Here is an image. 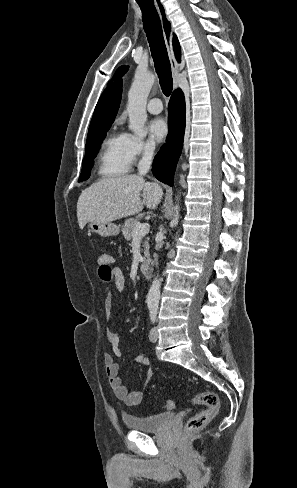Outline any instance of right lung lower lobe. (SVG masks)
I'll use <instances>...</instances> for the list:
<instances>
[{"instance_id": "right-lung-lower-lobe-1", "label": "right lung lower lobe", "mask_w": 297, "mask_h": 488, "mask_svg": "<svg viewBox=\"0 0 297 488\" xmlns=\"http://www.w3.org/2000/svg\"><path fill=\"white\" fill-rule=\"evenodd\" d=\"M169 135L153 161L152 172L161 182L173 186L176 164L181 154L185 130V101L180 90L171 96L169 106Z\"/></svg>"}]
</instances>
